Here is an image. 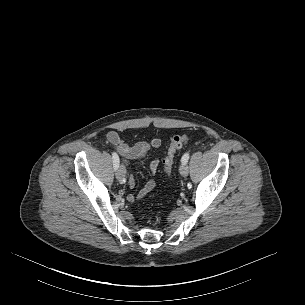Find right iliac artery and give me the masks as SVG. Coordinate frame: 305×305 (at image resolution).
<instances>
[{
  "label": "right iliac artery",
  "instance_id": "right-iliac-artery-1",
  "mask_svg": "<svg viewBox=\"0 0 305 305\" xmlns=\"http://www.w3.org/2000/svg\"><path fill=\"white\" fill-rule=\"evenodd\" d=\"M112 159H113V165L114 169L116 170L119 167V156L116 152H112Z\"/></svg>",
  "mask_w": 305,
  "mask_h": 305
}]
</instances>
